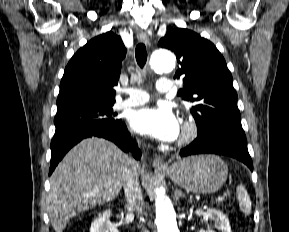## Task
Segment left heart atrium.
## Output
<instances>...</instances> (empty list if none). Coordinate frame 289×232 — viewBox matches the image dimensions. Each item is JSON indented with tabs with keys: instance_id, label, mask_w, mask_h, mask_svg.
Segmentation results:
<instances>
[{
	"instance_id": "obj_1",
	"label": "left heart atrium",
	"mask_w": 289,
	"mask_h": 232,
	"mask_svg": "<svg viewBox=\"0 0 289 232\" xmlns=\"http://www.w3.org/2000/svg\"><path fill=\"white\" fill-rule=\"evenodd\" d=\"M131 127L138 133L161 141H173L179 135V123L166 106H146L134 111Z\"/></svg>"
}]
</instances>
